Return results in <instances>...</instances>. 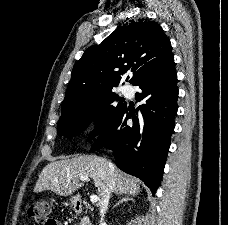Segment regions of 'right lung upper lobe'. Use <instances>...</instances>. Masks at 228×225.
Returning a JSON list of instances; mask_svg holds the SVG:
<instances>
[{
  "label": "right lung upper lobe",
  "instance_id": "1",
  "mask_svg": "<svg viewBox=\"0 0 228 225\" xmlns=\"http://www.w3.org/2000/svg\"><path fill=\"white\" fill-rule=\"evenodd\" d=\"M171 49L158 23L138 20L123 24L100 45L86 49L76 62L62 107L111 91L129 69L133 71L129 82L136 85L172 55Z\"/></svg>",
  "mask_w": 228,
  "mask_h": 225
}]
</instances>
